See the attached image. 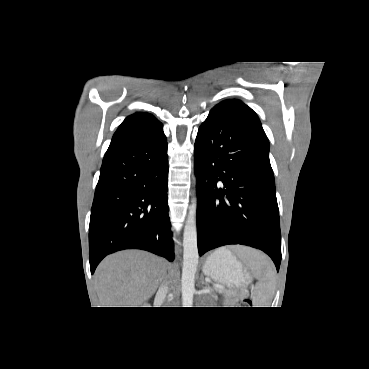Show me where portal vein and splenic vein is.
Instances as JSON below:
<instances>
[{"mask_svg":"<svg viewBox=\"0 0 369 369\" xmlns=\"http://www.w3.org/2000/svg\"><path fill=\"white\" fill-rule=\"evenodd\" d=\"M214 289L215 290H218V291H221V290L224 289V287H222V286H214Z\"/></svg>","mask_w":369,"mask_h":369,"instance_id":"portal-vein-and-splenic-vein-1","label":"portal vein and splenic vein"}]
</instances>
